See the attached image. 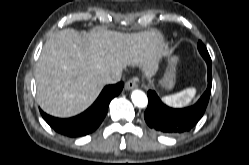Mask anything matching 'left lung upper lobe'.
Wrapping results in <instances>:
<instances>
[{
	"mask_svg": "<svg viewBox=\"0 0 249 165\" xmlns=\"http://www.w3.org/2000/svg\"><path fill=\"white\" fill-rule=\"evenodd\" d=\"M198 50L206 62H211V58L209 56V53H208L205 45L201 41L198 42Z\"/></svg>",
	"mask_w": 249,
	"mask_h": 165,
	"instance_id": "1",
	"label": "left lung upper lobe"
}]
</instances>
